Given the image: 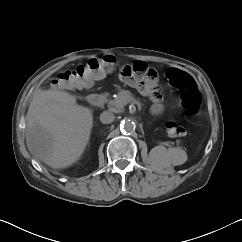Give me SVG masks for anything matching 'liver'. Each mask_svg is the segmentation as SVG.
Here are the masks:
<instances>
[{
  "instance_id": "liver-1",
  "label": "liver",
  "mask_w": 242,
  "mask_h": 242,
  "mask_svg": "<svg viewBox=\"0 0 242 242\" xmlns=\"http://www.w3.org/2000/svg\"><path fill=\"white\" fill-rule=\"evenodd\" d=\"M92 111L68 92L38 89L26 114V145L32 156L54 169L76 163L89 142Z\"/></svg>"
}]
</instances>
